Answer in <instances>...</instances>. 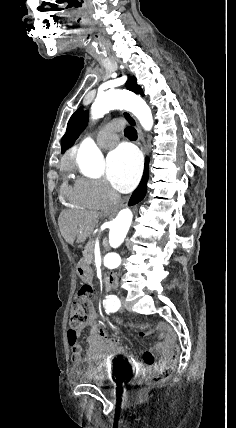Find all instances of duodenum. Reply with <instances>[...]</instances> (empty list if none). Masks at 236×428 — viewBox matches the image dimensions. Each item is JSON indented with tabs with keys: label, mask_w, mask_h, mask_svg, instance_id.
I'll use <instances>...</instances> for the list:
<instances>
[{
	"label": "duodenum",
	"mask_w": 236,
	"mask_h": 428,
	"mask_svg": "<svg viewBox=\"0 0 236 428\" xmlns=\"http://www.w3.org/2000/svg\"><path fill=\"white\" fill-rule=\"evenodd\" d=\"M117 285V275L114 273H108L105 277V290L110 292Z\"/></svg>",
	"instance_id": "duodenum-1"
}]
</instances>
